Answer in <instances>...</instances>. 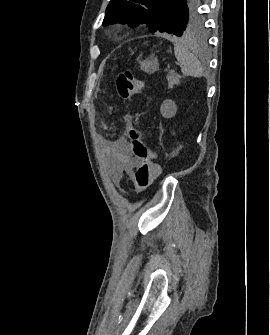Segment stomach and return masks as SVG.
<instances>
[{
	"mask_svg": "<svg viewBox=\"0 0 270 335\" xmlns=\"http://www.w3.org/2000/svg\"><path fill=\"white\" fill-rule=\"evenodd\" d=\"M140 68L143 72H148V74H153L159 68V62L157 58H152V60H142L140 62Z\"/></svg>",
	"mask_w": 270,
	"mask_h": 335,
	"instance_id": "1",
	"label": "stomach"
}]
</instances>
